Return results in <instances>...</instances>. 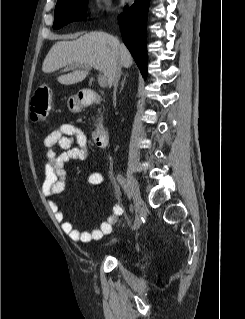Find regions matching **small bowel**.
<instances>
[{"label": "small bowel", "mask_w": 245, "mask_h": 319, "mask_svg": "<svg viewBox=\"0 0 245 319\" xmlns=\"http://www.w3.org/2000/svg\"><path fill=\"white\" fill-rule=\"evenodd\" d=\"M44 145L47 151L42 193L45 197H51L66 190L65 163L71 160L83 161L88 158V138L80 128L71 124H62L45 137ZM103 179V174L92 172L87 175L85 183L89 186H96L101 184ZM49 207L55 219L60 223L62 231L72 241L82 243L100 240L109 234L113 224L123 212L122 206L116 204L108 219L88 232L78 230L72 222L66 220L64 213L55 201H50Z\"/></svg>", "instance_id": "c3829d8e"}]
</instances>
